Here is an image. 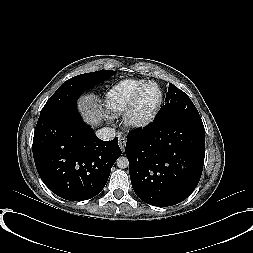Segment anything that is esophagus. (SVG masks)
<instances>
[{
  "instance_id": "1",
  "label": "esophagus",
  "mask_w": 253,
  "mask_h": 253,
  "mask_svg": "<svg viewBox=\"0 0 253 253\" xmlns=\"http://www.w3.org/2000/svg\"><path fill=\"white\" fill-rule=\"evenodd\" d=\"M126 146V138L124 136H119V147L122 151H124Z\"/></svg>"
}]
</instances>
